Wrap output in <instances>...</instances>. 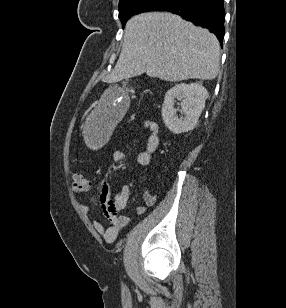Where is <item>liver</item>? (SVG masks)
<instances>
[{"label":"liver","mask_w":286,"mask_h":308,"mask_svg":"<svg viewBox=\"0 0 286 308\" xmlns=\"http://www.w3.org/2000/svg\"><path fill=\"white\" fill-rule=\"evenodd\" d=\"M219 61V42L207 29L167 12L142 13L127 22L119 59L106 80L143 73L170 82L212 80Z\"/></svg>","instance_id":"6515ba94"}]
</instances>
